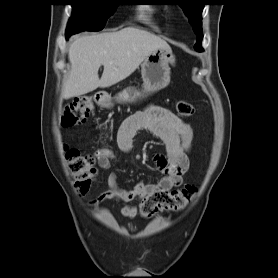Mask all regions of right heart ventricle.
Returning <instances> with one entry per match:
<instances>
[{
    "label": "right heart ventricle",
    "instance_id": "obj_1",
    "mask_svg": "<svg viewBox=\"0 0 278 278\" xmlns=\"http://www.w3.org/2000/svg\"><path fill=\"white\" fill-rule=\"evenodd\" d=\"M158 10L152 6H141L139 8V18L144 23L154 29H158L157 23Z\"/></svg>",
    "mask_w": 278,
    "mask_h": 278
}]
</instances>
